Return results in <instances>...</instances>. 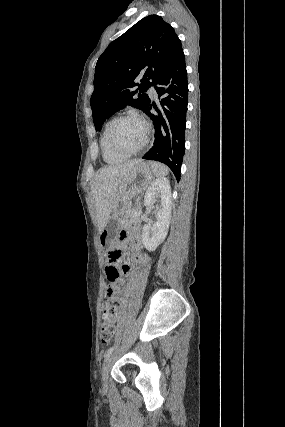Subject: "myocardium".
Returning <instances> with one entry per match:
<instances>
[{
  "instance_id": "f54148a6",
  "label": "myocardium",
  "mask_w": 285,
  "mask_h": 427,
  "mask_svg": "<svg viewBox=\"0 0 285 427\" xmlns=\"http://www.w3.org/2000/svg\"><path fill=\"white\" fill-rule=\"evenodd\" d=\"M127 119L137 120V121L141 122L145 128V137H144L142 143L133 150H126V149L120 147L114 140V131H115L116 126L121 121L127 120ZM150 132H151V126H150V123L148 122L147 119H145L143 116H141L137 113H125V114H122V115L116 117L112 121V123L109 127V130H108V142H109L110 147L115 152H117L119 154L126 155V156H131V155L137 154L138 152H140L141 150H143L147 146V144L149 142V138H150Z\"/></svg>"
}]
</instances>
